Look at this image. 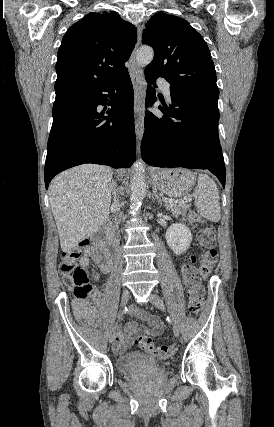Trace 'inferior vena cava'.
<instances>
[{
  "instance_id": "inferior-vena-cava-1",
  "label": "inferior vena cava",
  "mask_w": 274,
  "mask_h": 427,
  "mask_svg": "<svg viewBox=\"0 0 274 427\" xmlns=\"http://www.w3.org/2000/svg\"><path fill=\"white\" fill-rule=\"evenodd\" d=\"M113 198H114V200H113L112 208H113L115 214L120 215L121 204L119 202L118 194H116V192H114Z\"/></svg>"
}]
</instances>
